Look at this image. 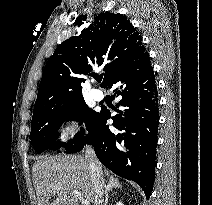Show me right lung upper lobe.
Segmentation results:
<instances>
[{
  "label": "right lung upper lobe",
  "instance_id": "cb5924a9",
  "mask_svg": "<svg viewBox=\"0 0 212 205\" xmlns=\"http://www.w3.org/2000/svg\"><path fill=\"white\" fill-rule=\"evenodd\" d=\"M146 49L140 33L122 14L101 13L79 36L62 42L48 59L39 85L34 110L48 105H67L83 99L82 76L104 65L106 87L116 72L139 59Z\"/></svg>",
  "mask_w": 212,
  "mask_h": 205
}]
</instances>
